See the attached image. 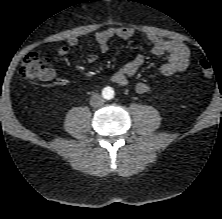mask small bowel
Segmentation results:
<instances>
[{
	"label": "small bowel",
	"mask_w": 222,
	"mask_h": 219,
	"mask_svg": "<svg viewBox=\"0 0 222 219\" xmlns=\"http://www.w3.org/2000/svg\"><path fill=\"white\" fill-rule=\"evenodd\" d=\"M134 36V31L128 27H112L96 32L91 41L98 45L99 51L104 53L108 49V44L113 39L127 40ZM146 41L151 45V51L155 56L167 55V61L160 67V72L164 76H172L176 73L184 71L190 62L191 52L189 48L182 42L176 40H166L154 33H149L146 36ZM79 43L76 37H70L67 44L59 47L57 53L59 56H65L69 53L70 49L77 46ZM98 60V55L94 52L86 56L88 64H94ZM144 63V57L137 55L133 59L124 63L117 71L111 76V80L119 85L126 86L130 80L135 76L139 68ZM54 70L51 71V80L54 77ZM152 86L146 82H138L136 84V91L140 94L149 93Z\"/></svg>",
	"instance_id": "obj_1"
}]
</instances>
